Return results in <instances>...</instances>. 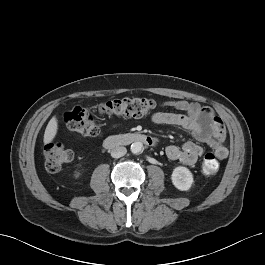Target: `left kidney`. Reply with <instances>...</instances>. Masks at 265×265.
<instances>
[{
    "instance_id": "5707ae66",
    "label": "left kidney",
    "mask_w": 265,
    "mask_h": 265,
    "mask_svg": "<svg viewBox=\"0 0 265 265\" xmlns=\"http://www.w3.org/2000/svg\"><path fill=\"white\" fill-rule=\"evenodd\" d=\"M171 180L173 185L181 191L189 190L194 183L191 171L184 166H178L173 170Z\"/></svg>"
}]
</instances>
